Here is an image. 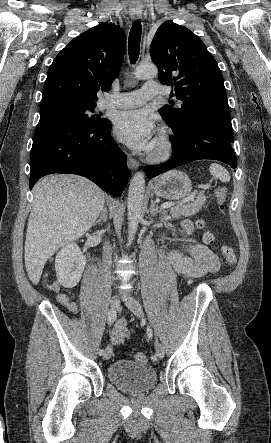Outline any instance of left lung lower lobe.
<instances>
[{
	"instance_id": "obj_1",
	"label": "left lung lower lobe",
	"mask_w": 271,
	"mask_h": 443,
	"mask_svg": "<svg viewBox=\"0 0 271 443\" xmlns=\"http://www.w3.org/2000/svg\"><path fill=\"white\" fill-rule=\"evenodd\" d=\"M173 155L160 165L145 167L147 177L153 178L180 165L200 160H219L237 167L232 148L233 132L230 114L213 109H201L189 121L170 126Z\"/></svg>"
}]
</instances>
